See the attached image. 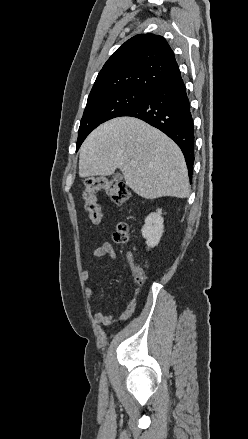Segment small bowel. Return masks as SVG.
<instances>
[{
	"mask_svg": "<svg viewBox=\"0 0 248 439\" xmlns=\"http://www.w3.org/2000/svg\"><path fill=\"white\" fill-rule=\"evenodd\" d=\"M92 256L94 259H102L105 256H109L112 261H116L117 259V253L113 245L108 241L103 242L100 246L95 248ZM127 259L129 262H131L132 260L131 255H128ZM91 276L92 273L88 269L82 272V279L84 281L90 280ZM96 295L97 292L92 286L86 287V296L90 305H93V303L95 302ZM138 295H139V289H135L132 298L128 302L127 307L121 316L122 320L128 319L134 313L137 305ZM94 320L98 324L109 325L114 321V313L106 314L102 311H97L94 314Z\"/></svg>",
	"mask_w": 248,
	"mask_h": 439,
	"instance_id": "1",
	"label": "small bowel"
}]
</instances>
